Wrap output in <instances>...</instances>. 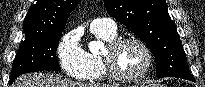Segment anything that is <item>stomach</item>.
<instances>
[{
    "label": "stomach",
    "mask_w": 205,
    "mask_h": 87,
    "mask_svg": "<svg viewBox=\"0 0 205 87\" xmlns=\"http://www.w3.org/2000/svg\"><path fill=\"white\" fill-rule=\"evenodd\" d=\"M151 85L147 84V83H140V84H135L134 86L132 87H150Z\"/></svg>",
    "instance_id": "obj_1"
}]
</instances>
